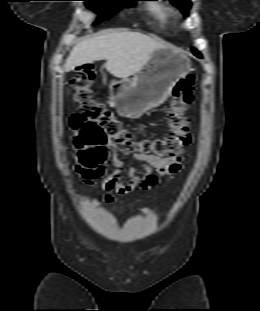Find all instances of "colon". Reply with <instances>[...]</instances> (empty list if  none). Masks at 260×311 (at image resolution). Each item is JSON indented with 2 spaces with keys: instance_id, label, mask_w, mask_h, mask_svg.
I'll list each match as a JSON object with an SVG mask.
<instances>
[{
  "instance_id": "colon-1",
  "label": "colon",
  "mask_w": 260,
  "mask_h": 311,
  "mask_svg": "<svg viewBox=\"0 0 260 311\" xmlns=\"http://www.w3.org/2000/svg\"><path fill=\"white\" fill-rule=\"evenodd\" d=\"M96 71L91 66L77 70L71 80L70 98L78 111L69 117L78 163L96 172L106 161L104 146L112 142L123 150L137 151L159 158L178 157L190 143L186 111L191 102L195 79L181 78L174 86L167 108L170 133L156 138L136 140L131 130L95 99L92 85Z\"/></svg>"
}]
</instances>
